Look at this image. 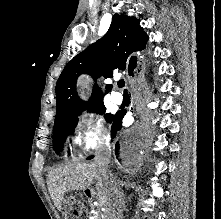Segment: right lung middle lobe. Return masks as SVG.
Listing matches in <instances>:
<instances>
[{
  "instance_id": "1",
  "label": "right lung middle lobe",
  "mask_w": 221,
  "mask_h": 219,
  "mask_svg": "<svg viewBox=\"0 0 221 219\" xmlns=\"http://www.w3.org/2000/svg\"><path fill=\"white\" fill-rule=\"evenodd\" d=\"M88 109L89 112H97L98 114H102L105 112V107L102 103V101L93 102L90 104H86L83 106H80L71 112L67 113L66 115L60 117L59 119H56L54 122L53 127V148L57 152L61 151L63 148V143L66 140V136L68 134H72L74 131V128L77 125L78 122V115L83 110ZM115 115L112 114H106L105 119L108 122H112Z\"/></svg>"
}]
</instances>
